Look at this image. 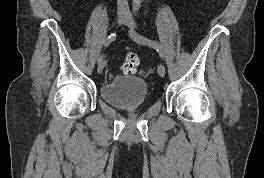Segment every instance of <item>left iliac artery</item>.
Masks as SVG:
<instances>
[{
	"label": "left iliac artery",
	"instance_id": "44dca946",
	"mask_svg": "<svg viewBox=\"0 0 264 178\" xmlns=\"http://www.w3.org/2000/svg\"><path fill=\"white\" fill-rule=\"evenodd\" d=\"M130 36L136 42H139L141 44H144V45H147L149 47H152V48L156 49L157 52L159 53L160 57L161 58L164 57L163 49H162L161 45L157 41L150 40V39H148V38L136 33L133 30L130 31Z\"/></svg>",
	"mask_w": 264,
	"mask_h": 178
}]
</instances>
